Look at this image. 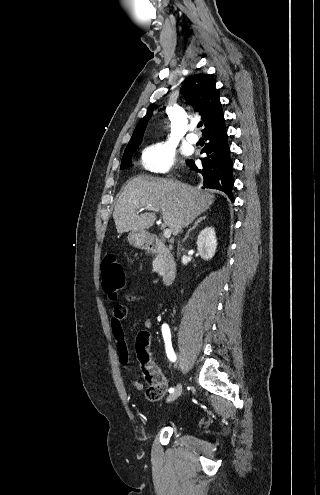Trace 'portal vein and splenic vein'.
<instances>
[{"label": "portal vein and splenic vein", "mask_w": 320, "mask_h": 495, "mask_svg": "<svg viewBox=\"0 0 320 495\" xmlns=\"http://www.w3.org/2000/svg\"><path fill=\"white\" fill-rule=\"evenodd\" d=\"M143 210H151V211H156L158 212L159 209L155 208V207H152V206H146V207H143L139 210V212L143 211ZM163 235H164V238L168 239L170 238L171 236V230L170 229H165L164 232H163Z\"/></svg>", "instance_id": "portal-vein-and-splenic-vein-1"}]
</instances>
